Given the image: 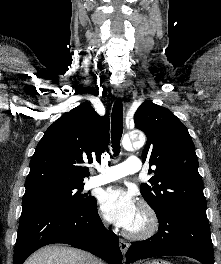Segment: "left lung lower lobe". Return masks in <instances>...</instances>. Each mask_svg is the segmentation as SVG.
Wrapping results in <instances>:
<instances>
[{"mask_svg": "<svg viewBox=\"0 0 221 264\" xmlns=\"http://www.w3.org/2000/svg\"><path fill=\"white\" fill-rule=\"evenodd\" d=\"M156 215L158 232L149 239L131 243L127 264L159 256H188L203 264H214L206 210L173 209Z\"/></svg>", "mask_w": 221, "mask_h": 264, "instance_id": "1", "label": "left lung lower lobe"}]
</instances>
